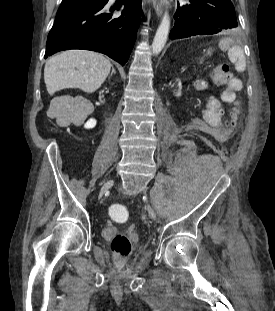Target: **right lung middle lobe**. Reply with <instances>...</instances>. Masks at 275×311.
<instances>
[{"mask_svg": "<svg viewBox=\"0 0 275 311\" xmlns=\"http://www.w3.org/2000/svg\"><path fill=\"white\" fill-rule=\"evenodd\" d=\"M105 0H70L62 2L58 9L57 15L62 14L68 10L89 6L102 4Z\"/></svg>", "mask_w": 275, "mask_h": 311, "instance_id": "dd1d6c3e", "label": "right lung middle lobe"}]
</instances>
